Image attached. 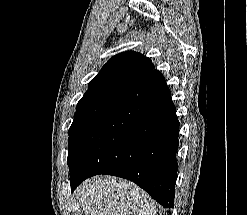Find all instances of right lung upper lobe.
Masks as SVG:
<instances>
[{
	"label": "right lung upper lobe",
	"instance_id": "cb5924a9",
	"mask_svg": "<svg viewBox=\"0 0 247 215\" xmlns=\"http://www.w3.org/2000/svg\"><path fill=\"white\" fill-rule=\"evenodd\" d=\"M151 60L138 52L127 51L113 56L91 80L87 92L131 88L153 71Z\"/></svg>",
	"mask_w": 247,
	"mask_h": 215
}]
</instances>
